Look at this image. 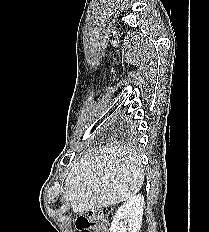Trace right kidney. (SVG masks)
<instances>
[{"label":"right kidney","instance_id":"right-kidney-1","mask_svg":"<svg viewBox=\"0 0 209 232\" xmlns=\"http://www.w3.org/2000/svg\"><path fill=\"white\" fill-rule=\"evenodd\" d=\"M144 197L129 198L115 213L110 232H139L142 222Z\"/></svg>","mask_w":209,"mask_h":232}]
</instances>
